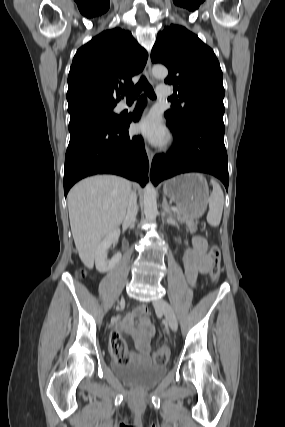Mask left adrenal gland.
Wrapping results in <instances>:
<instances>
[{
	"label": "left adrenal gland",
	"instance_id": "a2214340",
	"mask_svg": "<svg viewBox=\"0 0 285 427\" xmlns=\"http://www.w3.org/2000/svg\"><path fill=\"white\" fill-rule=\"evenodd\" d=\"M162 209H163V211H164L166 214H168V215H170V216H173V213H172V211H171V210H170V208H169V205H168V203H167V200H166V197H165V196L163 197Z\"/></svg>",
	"mask_w": 285,
	"mask_h": 427
}]
</instances>
